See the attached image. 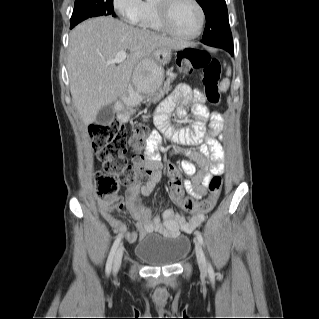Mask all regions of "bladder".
<instances>
[{"instance_id":"31cf9c89","label":"bladder","mask_w":319,"mask_h":319,"mask_svg":"<svg viewBox=\"0 0 319 319\" xmlns=\"http://www.w3.org/2000/svg\"><path fill=\"white\" fill-rule=\"evenodd\" d=\"M190 248L187 235L147 234L135 246L134 254L148 266H167L182 260Z\"/></svg>"}]
</instances>
